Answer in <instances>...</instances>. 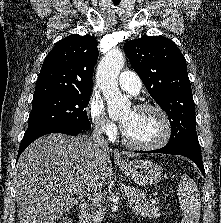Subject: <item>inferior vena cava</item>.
Segmentation results:
<instances>
[{
	"mask_svg": "<svg viewBox=\"0 0 221 223\" xmlns=\"http://www.w3.org/2000/svg\"><path fill=\"white\" fill-rule=\"evenodd\" d=\"M91 144L97 145V146H107L108 142L106 139H104V136H102V133L100 130H95L92 133V136L90 137Z\"/></svg>",
	"mask_w": 221,
	"mask_h": 223,
	"instance_id": "inferior-vena-cava-1",
	"label": "inferior vena cava"
}]
</instances>
